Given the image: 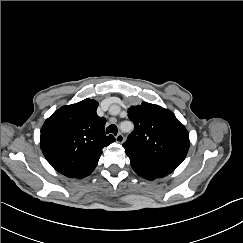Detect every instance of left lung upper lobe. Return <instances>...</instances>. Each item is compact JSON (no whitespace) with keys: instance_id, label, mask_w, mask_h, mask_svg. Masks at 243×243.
Returning <instances> with one entry per match:
<instances>
[{"instance_id":"left-lung-upper-lobe-1","label":"left lung upper lobe","mask_w":243,"mask_h":243,"mask_svg":"<svg viewBox=\"0 0 243 243\" xmlns=\"http://www.w3.org/2000/svg\"><path fill=\"white\" fill-rule=\"evenodd\" d=\"M128 117L134 130L123 144L127 155L176 167L182 163L190 145L189 133L171 111L143 102L131 106Z\"/></svg>"}]
</instances>
